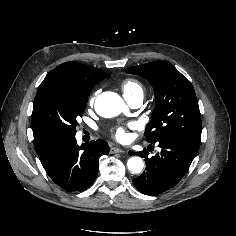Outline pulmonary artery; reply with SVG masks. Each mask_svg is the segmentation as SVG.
<instances>
[{
    "label": "pulmonary artery",
    "mask_w": 236,
    "mask_h": 236,
    "mask_svg": "<svg viewBox=\"0 0 236 236\" xmlns=\"http://www.w3.org/2000/svg\"><path fill=\"white\" fill-rule=\"evenodd\" d=\"M127 100L133 108H137L142 104V97L141 96L130 98V99H127Z\"/></svg>",
    "instance_id": "1"
}]
</instances>
